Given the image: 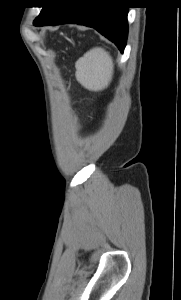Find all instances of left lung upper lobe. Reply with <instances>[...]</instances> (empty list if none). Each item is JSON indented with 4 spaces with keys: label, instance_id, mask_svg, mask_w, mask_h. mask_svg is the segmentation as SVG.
Segmentation results:
<instances>
[{
    "label": "left lung upper lobe",
    "instance_id": "left-lung-upper-lobe-1",
    "mask_svg": "<svg viewBox=\"0 0 181 300\" xmlns=\"http://www.w3.org/2000/svg\"><path fill=\"white\" fill-rule=\"evenodd\" d=\"M55 0H49L48 1V5L42 8L41 13L39 14V16L35 19L34 21V25L37 26L38 23L40 22V20L44 17V15L47 13V11L49 10V8L51 7V5L54 3Z\"/></svg>",
    "mask_w": 181,
    "mask_h": 300
}]
</instances>
